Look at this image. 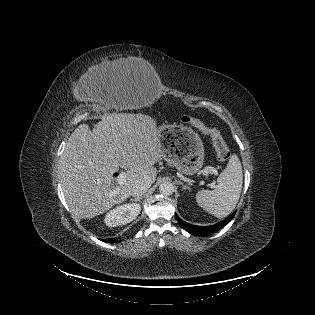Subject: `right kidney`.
<instances>
[{
	"mask_svg": "<svg viewBox=\"0 0 315 315\" xmlns=\"http://www.w3.org/2000/svg\"><path fill=\"white\" fill-rule=\"evenodd\" d=\"M141 211L139 204L130 203L117 206L110 210L104 219V222L109 227L125 225L135 220Z\"/></svg>",
	"mask_w": 315,
	"mask_h": 315,
	"instance_id": "ca27d5eb",
	"label": "right kidney"
}]
</instances>
